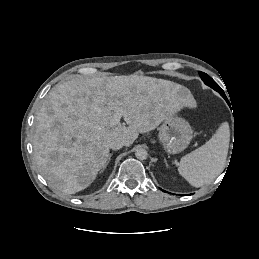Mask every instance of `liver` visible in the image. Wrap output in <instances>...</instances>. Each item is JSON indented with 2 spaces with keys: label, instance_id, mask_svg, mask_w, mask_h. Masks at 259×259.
I'll return each instance as SVG.
<instances>
[{
  "label": "liver",
  "instance_id": "liver-1",
  "mask_svg": "<svg viewBox=\"0 0 259 259\" xmlns=\"http://www.w3.org/2000/svg\"><path fill=\"white\" fill-rule=\"evenodd\" d=\"M183 86L141 75L77 76L59 83L35 117L33 149L53 188L74 194L87 188L109 157V143L130 146L184 106L196 102ZM118 110L128 126L110 121Z\"/></svg>",
  "mask_w": 259,
  "mask_h": 259
}]
</instances>
